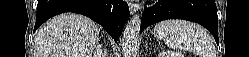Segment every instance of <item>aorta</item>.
Wrapping results in <instances>:
<instances>
[{
    "label": "aorta",
    "mask_w": 249,
    "mask_h": 57,
    "mask_svg": "<svg viewBox=\"0 0 249 57\" xmlns=\"http://www.w3.org/2000/svg\"><path fill=\"white\" fill-rule=\"evenodd\" d=\"M141 26V16L134 15L125 26L122 36L123 57H135L138 47V37Z\"/></svg>",
    "instance_id": "aorta-1"
}]
</instances>
